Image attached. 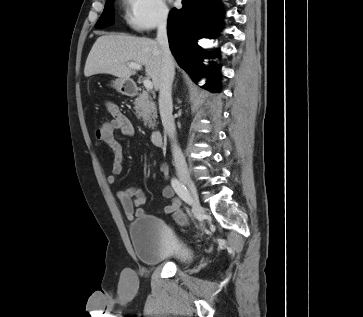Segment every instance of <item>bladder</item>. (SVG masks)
Here are the masks:
<instances>
[{
	"label": "bladder",
	"mask_w": 363,
	"mask_h": 317,
	"mask_svg": "<svg viewBox=\"0 0 363 317\" xmlns=\"http://www.w3.org/2000/svg\"><path fill=\"white\" fill-rule=\"evenodd\" d=\"M128 234L136 256L144 265L166 261L185 265L193 257L191 246L158 218L144 215L136 218L129 225Z\"/></svg>",
	"instance_id": "obj_1"
}]
</instances>
